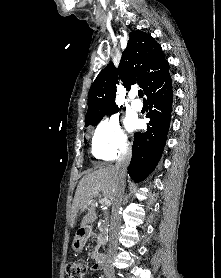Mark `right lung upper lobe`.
Returning a JSON list of instances; mask_svg holds the SVG:
<instances>
[{"label":"right lung upper lobe","instance_id":"obj_1","mask_svg":"<svg viewBox=\"0 0 221 278\" xmlns=\"http://www.w3.org/2000/svg\"><path fill=\"white\" fill-rule=\"evenodd\" d=\"M168 70V61L154 38L139 30L131 32L119 67L116 69L110 63L91 85L85 124H93L107 114L118 112L115 103L117 79H121L127 90L132 84L138 83L146 92Z\"/></svg>","mask_w":221,"mask_h":278}]
</instances>
